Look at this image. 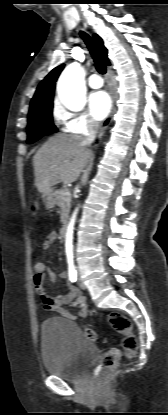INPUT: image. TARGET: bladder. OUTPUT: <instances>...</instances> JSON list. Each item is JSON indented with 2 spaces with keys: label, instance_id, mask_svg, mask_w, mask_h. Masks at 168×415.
Segmentation results:
<instances>
[{
  "label": "bladder",
  "instance_id": "bladder-1",
  "mask_svg": "<svg viewBox=\"0 0 168 415\" xmlns=\"http://www.w3.org/2000/svg\"><path fill=\"white\" fill-rule=\"evenodd\" d=\"M41 351L46 371L66 380H76L98 355L96 346L74 322L52 317L41 325Z\"/></svg>",
  "mask_w": 168,
  "mask_h": 415
}]
</instances>
